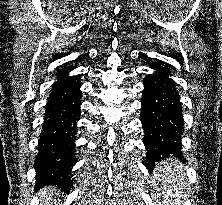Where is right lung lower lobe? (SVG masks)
<instances>
[{
    "label": "right lung lower lobe",
    "mask_w": 222,
    "mask_h": 205,
    "mask_svg": "<svg viewBox=\"0 0 222 205\" xmlns=\"http://www.w3.org/2000/svg\"><path fill=\"white\" fill-rule=\"evenodd\" d=\"M64 69L53 85L45 113L44 130L36 157V187L58 185L69 191L72 187L70 168L75 160L76 123L80 115L79 76H67Z\"/></svg>",
    "instance_id": "98d812e1"
}]
</instances>
